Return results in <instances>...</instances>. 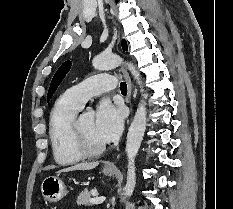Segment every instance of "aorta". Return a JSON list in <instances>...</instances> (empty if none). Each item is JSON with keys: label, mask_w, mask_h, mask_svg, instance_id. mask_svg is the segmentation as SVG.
Instances as JSON below:
<instances>
[{"label": "aorta", "mask_w": 233, "mask_h": 209, "mask_svg": "<svg viewBox=\"0 0 233 209\" xmlns=\"http://www.w3.org/2000/svg\"><path fill=\"white\" fill-rule=\"evenodd\" d=\"M93 66L98 70H109L116 68L122 63V59L116 54H100L93 59ZM127 68L140 85L141 92L142 82L140 74L132 63H127ZM146 107L143 100L139 103L133 121L129 127L126 140V155L128 160L127 181L124 188L125 195L131 196L136 185L135 157L139 151L143 136L146 130ZM93 112L88 110L83 117H92Z\"/></svg>", "instance_id": "aorta-1"}]
</instances>
